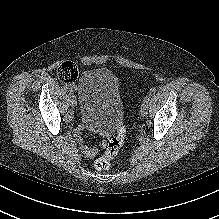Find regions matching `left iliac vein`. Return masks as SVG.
<instances>
[{
  "label": "left iliac vein",
  "instance_id": "4c4485c4",
  "mask_svg": "<svg viewBox=\"0 0 219 219\" xmlns=\"http://www.w3.org/2000/svg\"><path fill=\"white\" fill-rule=\"evenodd\" d=\"M148 113V104L143 103L140 109V114L142 117H145Z\"/></svg>",
  "mask_w": 219,
  "mask_h": 219
}]
</instances>
